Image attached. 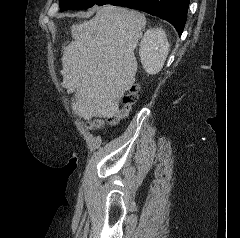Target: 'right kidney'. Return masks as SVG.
Returning <instances> with one entry per match:
<instances>
[{
  "label": "right kidney",
  "instance_id": "ca27d5eb",
  "mask_svg": "<svg viewBox=\"0 0 240 238\" xmlns=\"http://www.w3.org/2000/svg\"><path fill=\"white\" fill-rule=\"evenodd\" d=\"M169 52V43L164 30L149 29L145 32L139 48V56L145 71L154 75L164 65Z\"/></svg>",
  "mask_w": 240,
  "mask_h": 238
}]
</instances>
